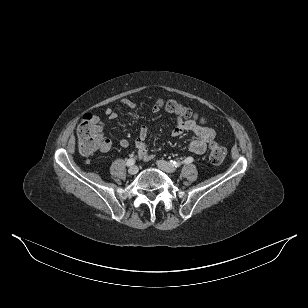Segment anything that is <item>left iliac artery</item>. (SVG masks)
Segmentation results:
<instances>
[{
  "mask_svg": "<svg viewBox=\"0 0 308 308\" xmlns=\"http://www.w3.org/2000/svg\"><path fill=\"white\" fill-rule=\"evenodd\" d=\"M192 161H193V158L192 157H188V158H186L182 163H184V164H190V163H192ZM171 162V164L173 165V166H175V167H179L180 165H181V163L179 162V161H170Z\"/></svg>",
  "mask_w": 308,
  "mask_h": 308,
  "instance_id": "left-iliac-artery-1",
  "label": "left iliac artery"
}]
</instances>
